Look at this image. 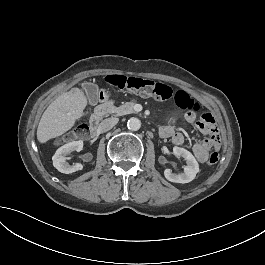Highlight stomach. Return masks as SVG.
<instances>
[{"instance_id": "stomach-1", "label": "stomach", "mask_w": 265, "mask_h": 265, "mask_svg": "<svg viewBox=\"0 0 265 265\" xmlns=\"http://www.w3.org/2000/svg\"><path fill=\"white\" fill-rule=\"evenodd\" d=\"M110 93L114 94L115 96H119V93L113 91V90H110Z\"/></svg>"}]
</instances>
